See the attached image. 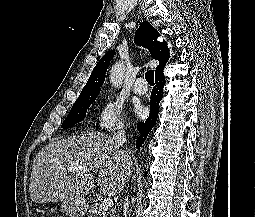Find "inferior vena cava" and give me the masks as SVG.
<instances>
[{
	"label": "inferior vena cava",
	"instance_id": "1",
	"mask_svg": "<svg viewBox=\"0 0 255 217\" xmlns=\"http://www.w3.org/2000/svg\"><path fill=\"white\" fill-rule=\"evenodd\" d=\"M126 135L124 131H119L117 133L114 134L113 136V142H114V146L115 148L118 150L121 146H123V144L126 142ZM123 154V151H120ZM129 210V200H128V196L125 197L124 200V213L126 215V213H128Z\"/></svg>",
	"mask_w": 255,
	"mask_h": 217
}]
</instances>
